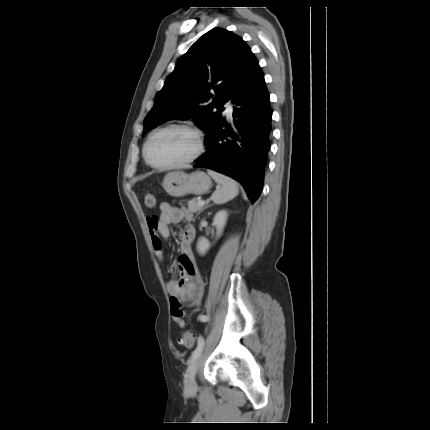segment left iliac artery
<instances>
[{"mask_svg": "<svg viewBox=\"0 0 430 430\" xmlns=\"http://www.w3.org/2000/svg\"><path fill=\"white\" fill-rule=\"evenodd\" d=\"M208 319L209 318L207 316H205V315L202 316V317H200L201 321H207ZM203 346H204V338L201 336L198 339L197 347L194 349V351L191 354L190 360H193L202 351Z\"/></svg>", "mask_w": 430, "mask_h": 430, "instance_id": "1", "label": "left iliac artery"}]
</instances>
